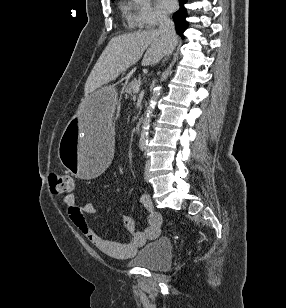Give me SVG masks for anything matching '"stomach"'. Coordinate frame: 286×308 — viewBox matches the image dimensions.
Listing matches in <instances>:
<instances>
[{
	"label": "stomach",
	"mask_w": 286,
	"mask_h": 308,
	"mask_svg": "<svg viewBox=\"0 0 286 308\" xmlns=\"http://www.w3.org/2000/svg\"><path fill=\"white\" fill-rule=\"evenodd\" d=\"M117 96L112 86L93 92L84 107H79V118H67L66 130L56 142L60 163L87 181L101 174V168H108L114 159L110 125Z\"/></svg>",
	"instance_id": "stomach-1"
}]
</instances>
